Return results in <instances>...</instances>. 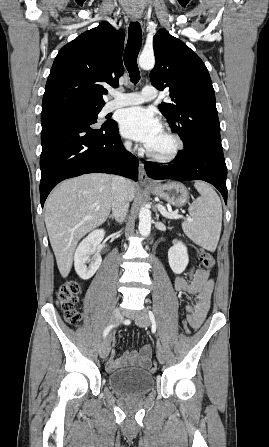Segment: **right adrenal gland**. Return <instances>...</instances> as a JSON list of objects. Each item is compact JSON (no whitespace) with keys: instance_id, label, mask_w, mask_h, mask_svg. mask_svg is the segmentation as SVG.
<instances>
[{"instance_id":"right-adrenal-gland-1","label":"right adrenal gland","mask_w":269,"mask_h":447,"mask_svg":"<svg viewBox=\"0 0 269 447\" xmlns=\"http://www.w3.org/2000/svg\"><path fill=\"white\" fill-rule=\"evenodd\" d=\"M108 218H110V220H114V216H108Z\"/></svg>"}]
</instances>
